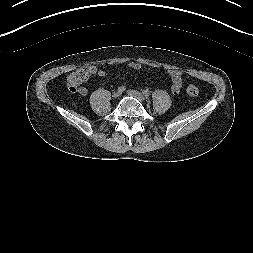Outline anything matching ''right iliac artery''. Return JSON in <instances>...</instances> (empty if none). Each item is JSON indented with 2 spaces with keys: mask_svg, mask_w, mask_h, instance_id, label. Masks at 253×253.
Masks as SVG:
<instances>
[{
  "mask_svg": "<svg viewBox=\"0 0 253 253\" xmlns=\"http://www.w3.org/2000/svg\"><path fill=\"white\" fill-rule=\"evenodd\" d=\"M126 90V87L125 86H120L119 88H118V92L119 93H122V92H124Z\"/></svg>",
  "mask_w": 253,
  "mask_h": 253,
  "instance_id": "82829eb1",
  "label": "right iliac artery"
}]
</instances>
